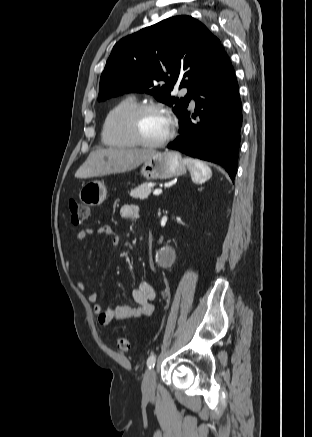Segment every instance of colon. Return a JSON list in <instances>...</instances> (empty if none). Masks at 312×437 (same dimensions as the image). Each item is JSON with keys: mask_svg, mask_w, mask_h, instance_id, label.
I'll return each instance as SVG.
<instances>
[{"mask_svg": "<svg viewBox=\"0 0 312 437\" xmlns=\"http://www.w3.org/2000/svg\"><path fill=\"white\" fill-rule=\"evenodd\" d=\"M69 210L74 225L81 224L88 215V207L73 199L69 201ZM117 344L122 352H129L132 349L131 342L126 338H119Z\"/></svg>", "mask_w": 312, "mask_h": 437, "instance_id": "colon-1", "label": "colon"}]
</instances>
